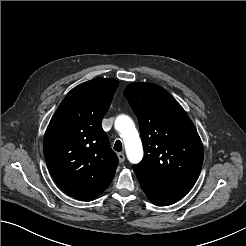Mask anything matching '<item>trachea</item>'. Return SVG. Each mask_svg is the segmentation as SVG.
<instances>
[{
	"mask_svg": "<svg viewBox=\"0 0 246 246\" xmlns=\"http://www.w3.org/2000/svg\"><path fill=\"white\" fill-rule=\"evenodd\" d=\"M114 150L115 151H122V143L120 140H117L114 144Z\"/></svg>",
	"mask_w": 246,
	"mask_h": 246,
	"instance_id": "trachea-1",
	"label": "trachea"
}]
</instances>
